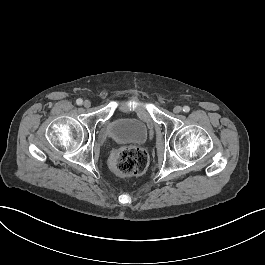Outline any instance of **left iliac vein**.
<instances>
[{
  "instance_id": "left-iliac-vein-1",
  "label": "left iliac vein",
  "mask_w": 265,
  "mask_h": 265,
  "mask_svg": "<svg viewBox=\"0 0 265 265\" xmlns=\"http://www.w3.org/2000/svg\"><path fill=\"white\" fill-rule=\"evenodd\" d=\"M173 111H174L175 113H180V112L182 111V107L179 106V105H177V106L174 107Z\"/></svg>"
}]
</instances>
